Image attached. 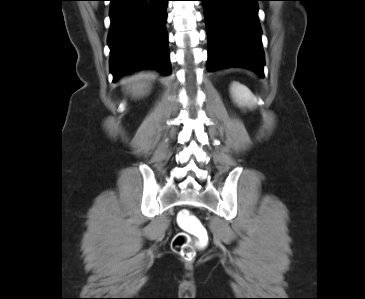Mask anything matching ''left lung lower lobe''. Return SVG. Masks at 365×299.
<instances>
[{
	"instance_id": "0a47b994",
	"label": "left lung lower lobe",
	"mask_w": 365,
	"mask_h": 299,
	"mask_svg": "<svg viewBox=\"0 0 365 299\" xmlns=\"http://www.w3.org/2000/svg\"><path fill=\"white\" fill-rule=\"evenodd\" d=\"M205 9L209 72L241 67L263 77L264 54L257 16L261 0H201Z\"/></svg>"
}]
</instances>
